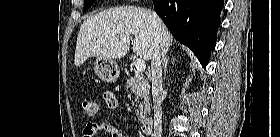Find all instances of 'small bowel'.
Here are the masks:
<instances>
[{"instance_id": "c3829d8e", "label": "small bowel", "mask_w": 280, "mask_h": 137, "mask_svg": "<svg viewBox=\"0 0 280 137\" xmlns=\"http://www.w3.org/2000/svg\"><path fill=\"white\" fill-rule=\"evenodd\" d=\"M107 94H111L112 98L105 96L106 105L112 110H117L118 102L115 95L110 92ZM99 132L106 133L108 137H124L123 133H121L112 124L106 122L101 124L89 123L83 130V137H95Z\"/></svg>"}]
</instances>
